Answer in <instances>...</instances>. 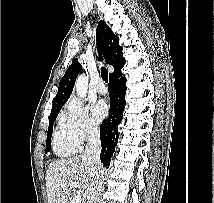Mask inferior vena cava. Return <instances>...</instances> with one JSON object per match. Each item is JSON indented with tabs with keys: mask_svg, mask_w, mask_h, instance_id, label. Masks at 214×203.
<instances>
[{
	"mask_svg": "<svg viewBox=\"0 0 214 203\" xmlns=\"http://www.w3.org/2000/svg\"><path fill=\"white\" fill-rule=\"evenodd\" d=\"M101 142L97 127H92L88 132V143L82 158L87 159L90 165V185L85 194L83 203H97L101 192L104 168L100 160Z\"/></svg>",
	"mask_w": 214,
	"mask_h": 203,
	"instance_id": "obj_1",
	"label": "inferior vena cava"
}]
</instances>
